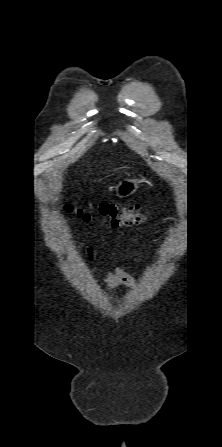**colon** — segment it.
<instances>
[{"label": "colon", "instance_id": "colon-1", "mask_svg": "<svg viewBox=\"0 0 222 447\" xmlns=\"http://www.w3.org/2000/svg\"><path fill=\"white\" fill-rule=\"evenodd\" d=\"M68 210L74 211L85 222L100 221L111 228L134 226L145 220L139 205L120 207L114 203L101 202L92 209H74L68 206Z\"/></svg>", "mask_w": 222, "mask_h": 447}]
</instances>
